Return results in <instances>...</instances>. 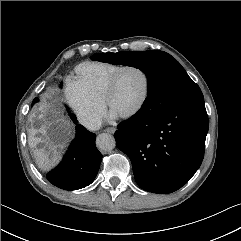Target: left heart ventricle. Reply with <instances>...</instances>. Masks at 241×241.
<instances>
[{
	"instance_id": "1",
	"label": "left heart ventricle",
	"mask_w": 241,
	"mask_h": 241,
	"mask_svg": "<svg viewBox=\"0 0 241 241\" xmlns=\"http://www.w3.org/2000/svg\"><path fill=\"white\" fill-rule=\"evenodd\" d=\"M144 86V76L139 70L124 71L110 99V110L115 111L119 116L131 111L139 103Z\"/></svg>"
}]
</instances>
